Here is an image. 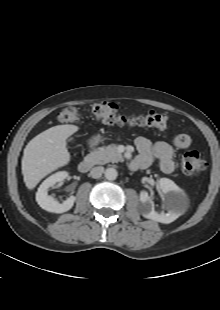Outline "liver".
Segmentation results:
<instances>
[{"mask_svg": "<svg viewBox=\"0 0 220 310\" xmlns=\"http://www.w3.org/2000/svg\"><path fill=\"white\" fill-rule=\"evenodd\" d=\"M78 130L75 125H57L27 144L22 157V174L28 189L35 188L45 176L69 163L66 139Z\"/></svg>", "mask_w": 220, "mask_h": 310, "instance_id": "liver-1", "label": "liver"}]
</instances>
